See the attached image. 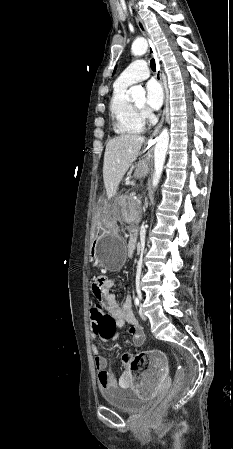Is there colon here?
Wrapping results in <instances>:
<instances>
[{
  "mask_svg": "<svg viewBox=\"0 0 233 449\" xmlns=\"http://www.w3.org/2000/svg\"><path fill=\"white\" fill-rule=\"evenodd\" d=\"M89 327L92 328L93 334H98V338L108 342L111 338H117V329H115L114 320L107 314V307L103 306L99 301H91L87 308ZM126 372L129 375H135L148 367L149 354L139 353L134 357H124ZM184 373L177 371L174 381L169 389L167 400L173 399L182 389L184 384Z\"/></svg>",
  "mask_w": 233,
  "mask_h": 449,
  "instance_id": "obj_1",
  "label": "colon"
}]
</instances>
